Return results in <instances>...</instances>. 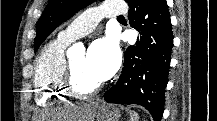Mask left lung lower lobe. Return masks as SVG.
I'll use <instances>...</instances> for the list:
<instances>
[{
    "label": "left lung lower lobe",
    "instance_id": "left-lung-lower-lobe-1",
    "mask_svg": "<svg viewBox=\"0 0 217 121\" xmlns=\"http://www.w3.org/2000/svg\"><path fill=\"white\" fill-rule=\"evenodd\" d=\"M129 23L140 33L135 46L128 47L117 83L104 99L116 104H139L155 121L164 112L173 34L166 0H125Z\"/></svg>",
    "mask_w": 217,
    "mask_h": 121
}]
</instances>
